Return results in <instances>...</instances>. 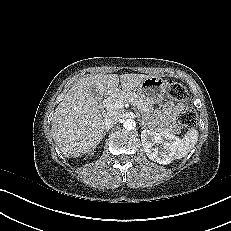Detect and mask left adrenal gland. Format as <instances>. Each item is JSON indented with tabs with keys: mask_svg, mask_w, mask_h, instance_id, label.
I'll list each match as a JSON object with an SVG mask.
<instances>
[{
	"mask_svg": "<svg viewBox=\"0 0 231 231\" xmlns=\"http://www.w3.org/2000/svg\"><path fill=\"white\" fill-rule=\"evenodd\" d=\"M141 124H142V129H145L146 126H145L144 122L141 121ZM145 130H147V129H145Z\"/></svg>",
	"mask_w": 231,
	"mask_h": 231,
	"instance_id": "left-adrenal-gland-1",
	"label": "left adrenal gland"
}]
</instances>
